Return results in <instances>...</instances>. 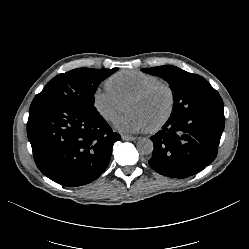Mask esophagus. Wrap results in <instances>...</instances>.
Wrapping results in <instances>:
<instances>
[{
  "instance_id": "obj_1",
  "label": "esophagus",
  "mask_w": 249,
  "mask_h": 249,
  "mask_svg": "<svg viewBox=\"0 0 249 249\" xmlns=\"http://www.w3.org/2000/svg\"><path fill=\"white\" fill-rule=\"evenodd\" d=\"M121 138L124 141H134V140H136V137H132V136L124 135V134L121 136Z\"/></svg>"
}]
</instances>
